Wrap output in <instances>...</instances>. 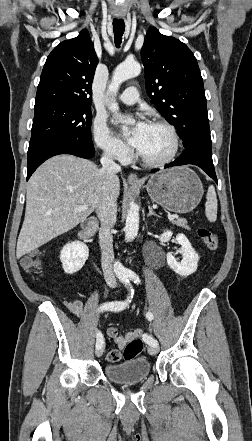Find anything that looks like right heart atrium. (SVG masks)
Masks as SVG:
<instances>
[{
  "mask_svg": "<svg viewBox=\"0 0 252 441\" xmlns=\"http://www.w3.org/2000/svg\"><path fill=\"white\" fill-rule=\"evenodd\" d=\"M92 136L96 148L105 156L120 162L130 159V149L109 128L105 118L95 117Z\"/></svg>",
  "mask_w": 252,
  "mask_h": 441,
  "instance_id": "1",
  "label": "right heart atrium"
}]
</instances>
